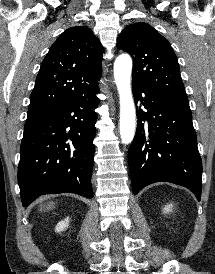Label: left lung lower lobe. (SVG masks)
Masks as SVG:
<instances>
[{
	"instance_id": "1",
	"label": "left lung lower lobe",
	"mask_w": 215,
	"mask_h": 274,
	"mask_svg": "<svg viewBox=\"0 0 215 274\" xmlns=\"http://www.w3.org/2000/svg\"><path fill=\"white\" fill-rule=\"evenodd\" d=\"M137 130L128 152L132 190L137 194L155 182H170L201 198L202 161L189 105L174 102L133 82ZM144 94L143 96L141 94Z\"/></svg>"
}]
</instances>
